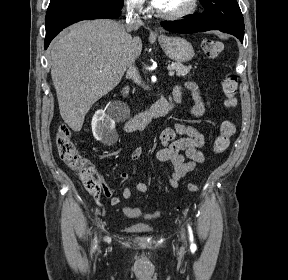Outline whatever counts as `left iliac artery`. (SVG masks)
Returning <instances> with one entry per match:
<instances>
[{
	"instance_id": "44dca946",
	"label": "left iliac artery",
	"mask_w": 288,
	"mask_h": 280,
	"mask_svg": "<svg viewBox=\"0 0 288 280\" xmlns=\"http://www.w3.org/2000/svg\"><path fill=\"white\" fill-rule=\"evenodd\" d=\"M188 232H189V239H190V242H191V250L192 251H195L196 250V245L194 244V238H193V231L191 229V227L188 225Z\"/></svg>"
}]
</instances>
